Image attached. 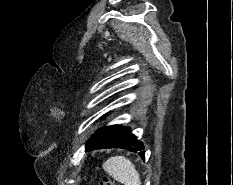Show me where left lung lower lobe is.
I'll return each mask as SVG.
<instances>
[{
  "label": "left lung lower lobe",
  "instance_id": "obj_1",
  "mask_svg": "<svg viewBox=\"0 0 233 185\" xmlns=\"http://www.w3.org/2000/svg\"><path fill=\"white\" fill-rule=\"evenodd\" d=\"M104 148H124L138 153L144 159V146L131 134L129 128L113 125L102 128L92 136L86 145V151Z\"/></svg>",
  "mask_w": 233,
  "mask_h": 185
}]
</instances>
